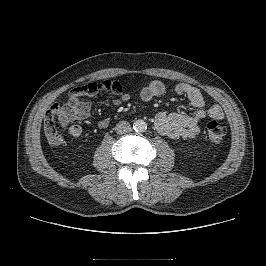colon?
Returning a JSON list of instances; mask_svg holds the SVG:
<instances>
[{
  "label": "colon",
  "instance_id": "1",
  "mask_svg": "<svg viewBox=\"0 0 266 266\" xmlns=\"http://www.w3.org/2000/svg\"><path fill=\"white\" fill-rule=\"evenodd\" d=\"M121 90L122 87L119 82L114 80H103L90 82L77 87L70 92V96L90 97L104 92L120 93ZM55 119V115L49 110L45 117V126L49 131L55 128ZM207 135L212 144H220L225 138L226 128L216 121H211L207 124Z\"/></svg>",
  "mask_w": 266,
  "mask_h": 266
}]
</instances>
